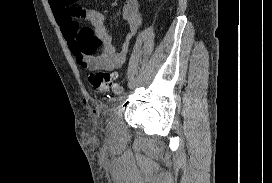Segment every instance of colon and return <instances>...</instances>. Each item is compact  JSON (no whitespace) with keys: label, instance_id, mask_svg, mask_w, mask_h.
<instances>
[{"label":"colon","instance_id":"obj_1","mask_svg":"<svg viewBox=\"0 0 272 183\" xmlns=\"http://www.w3.org/2000/svg\"><path fill=\"white\" fill-rule=\"evenodd\" d=\"M85 76L90 86L97 92H107L115 88V76L113 74L99 70L95 67H88Z\"/></svg>","mask_w":272,"mask_h":183}]
</instances>
